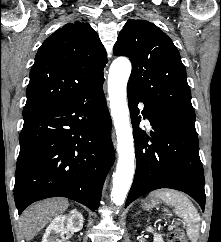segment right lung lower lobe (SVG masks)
<instances>
[{
	"label": "right lung lower lobe",
	"mask_w": 221,
	"mask_h": 242,
	"mask_svg": "<svg viewBox=\"0 0 221 242\" xmlns=\"http://www.w3.org/2000/svg\"><path fill=\"white\" fill-rule=\"evenodd\" d=\"M104 79L60 106L23 115L14 198L31 203L66 197L95 211L114 162Z\"/></svg>",
	"instance_id": "right-lung-lower-lobe-1"
}]
</instances>
